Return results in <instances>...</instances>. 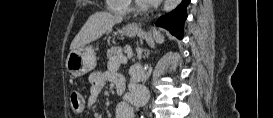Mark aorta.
Listing matches in <instances>:
<instances>
[{
	"mask_svg": "<svg viewBox=\"0 0 273 118\" xmlns=\"http://www.w3.org/2000/svg\"><path fill=\"white\" fill-rule=\"evenodd\" d=\"M180 2L181 0H165L163 5V11L166 13L172 11L180 4Z\"/></svg>",
	"mask_w": 273,
	"mask_h": 118,
	"instance_id": "obj_1",
	"label": "aorta"
}]
</instances>
